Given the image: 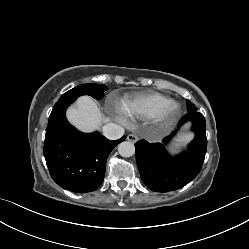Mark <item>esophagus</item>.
Returning a JSON list of instances; mask_svg holds the SVG:
<instances>
[{
	"label": "esophagus",
	"mask_w": 249,
	"mask_h": 249,
	"mask_svg": "<svg viewBox=\"0 0 249 249\" xmlns=\"http://www.w3.org/2000/svg\"><path fill=\"white\" fill-rule=\"evenodd\" d=\"M127 140L130 141V142H132V143H135V142L138 141V137H137L136 134H129L127 136Z\"/></svg>",
	"instance_id": "34e87169"
}]
</instances>
